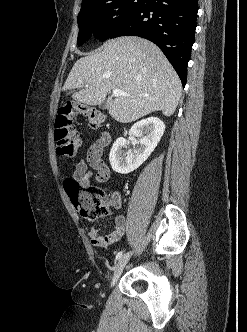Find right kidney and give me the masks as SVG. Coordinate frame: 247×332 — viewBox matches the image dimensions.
I'll return each mask as SVG.
<instances>
[{
  "label": "right kidney",
  "mask_w": 247,
  "mask_h": 332,
  "mask_svg": "<svg viewBox=\"0 0 247 332\" xmlns=\"http://www.w3.org/2000/svg\"><path fill=\"white\" fill-rule=\"evenodd\" d=\"M165 131V124L157 117H148L136 122L129 130V136L139 138L138 146L124 152L128 140L118 138L110 151L109 161L112 169L120 174H128L141 166L154 151Z\"/></svg>",
  "instance_id": "1"
}]
</instances>
